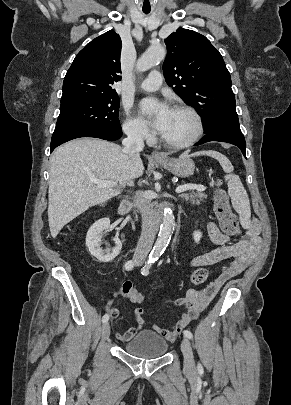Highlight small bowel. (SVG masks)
I'll return each mask as SVG.
<instances>
[{
	"mask_svg": "<svg viewBox=\"0 0 291 405\" xmlns=\"http://www.w3.org/2000/svg\"><path fill=\"white\" fill-rule=\"evenodd\" d=\"M207 232L211 242L218 245V247L191 259L189 263L190 266H210L225 260H230V262L221 273L205 287L200 289H189L187 290L185 297L175 300L176 305L186 306L187 312L182 315L181 319L171 330L153 325V330L167 341H174L190 322L198 318L218 290L229 279L244 271L260 252V226L257 221L249 223L246 227L244 238L234 244H228L229 236L223 233L213 222H210L207 225ZM108 312L111 318H117L119 316V310L116 307L110 308ZM143 313L144 310L142 308H137L135 310L136 324L126 329L124 332H118L116 338L119 341L126 342L130 340L145 326L146 322L142 317Z\"/></svg>",
	"mask_w": 291,
	"mask_h": 405,
	"instance_id": "obj_1",
	"label": "small bowel"
}]
</instances>
